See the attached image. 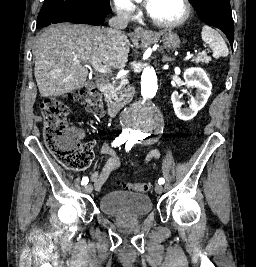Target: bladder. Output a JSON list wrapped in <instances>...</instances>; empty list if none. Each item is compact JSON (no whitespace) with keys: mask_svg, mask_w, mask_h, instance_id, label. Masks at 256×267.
<instances>
[{"mask_svg":"<svg viewBox=\"0 0 256 267\" xmlns=\"http://www.w3.org/2000/svg\"><path fill=\"white\" fill-rule=\"evenodd\" d=\"M99 208L115 217H142L151 212L152 205L150 196L145 194L125 195L113 191L102 195Z\"/></svg>","mask_w":256,"mask_h":267,"instance_id":"obj_1","label":"bladder"}]
</instances>
